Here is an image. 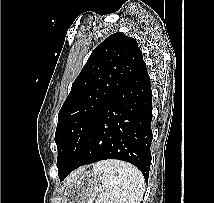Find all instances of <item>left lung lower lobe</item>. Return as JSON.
Returning <instances> with one entry per match:
<instances>
[{
	"label": "left lung lower lobe",
	"mask_w": 214,
	"mask_h": 203,
	"mask_svg": "<svg viewBox=\"0 0 214 203\" xmlns=\"http://www.w3.org/2000/svg\"><path fill=\"white\" fill-rule=\"evenodd\" d=\"M151 122V83L142 60L100 113L82 148L60 180L82 165L118 159L135 165L147 183L151 164Z\"/></svg>",
	"instance_id": "0a47b994"
}]
</instances>
